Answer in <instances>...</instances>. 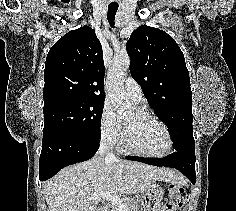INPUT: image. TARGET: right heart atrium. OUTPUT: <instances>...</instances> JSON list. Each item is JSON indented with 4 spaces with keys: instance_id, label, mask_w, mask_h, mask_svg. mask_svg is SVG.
I'll return each instance as SVG.
<instances>
[{
    "instance_id": "obj_1",
    "label": "right heart atrium",
    "mask_w": 236,
    "mask_h": 211,
    "mask_svg": "<svg viewBox=\"0 0 236 211\" xmlns=\"http://www.w3.org/2000/svg\"><path fill=\"white\" fill-rule=\"evenodd\" d=\"M99 131L100 138L106 145L116 147L120 144L123 137V124L108 103L103 106L101 111Z\"/></svg>"
}]
</instances>
